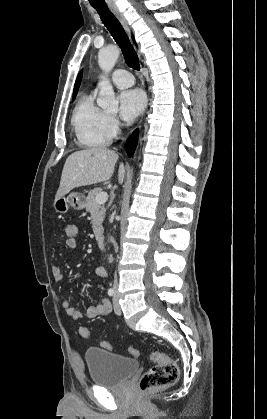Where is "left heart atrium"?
I'll list each match as a JSON object with an SVG mask.
<instances>
[{"label": "left heart atrium", "mask_w": 267, "mask_h": 419, "mask_svg": "<svg viewBox=\"0 0 267 419\" xmlns=\"http://www.w3.org/2000/svg\"><path fill=\"white\" fill-rule=\"evenodd\" d=\"M119 115L125 121L137 118L145 107V96L138 89H129L119 95Z\"/></svg>", "instance_id": "1"}]
</instances>
